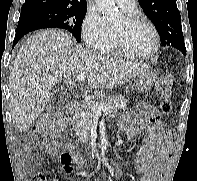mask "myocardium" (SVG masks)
<instances>
[{
  "label": "myocardium",
  "mask_w": 197,
  "mask_h": 181,
  "mask_svg": "<svg viewBox=\"0 0 197 181\" xmlns=\"http://www.w3.org/2000/svg\"><path fill=\"white\" fill-rule=\"evenodd\" d=\"M126 21L129 24H145V25H147L150 28V30L152 31L153 36H154L153 47H152L151 51L146 54H136V53L130 51L126 47V45L123 43L121 38L116 33H114V45H115L116 50L121 55H123L127 58L135 59V60H147V59L154 57L160 47V36H159V32H158L157 28L155 27V25L150 20H148L144 17H141V16H137V15H129L126 18Z\"/></svg>",
  "instance_id": "f54148a6"
}]
</instances>
